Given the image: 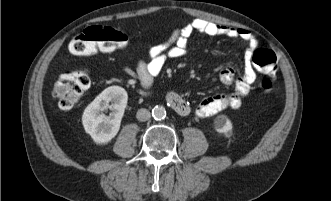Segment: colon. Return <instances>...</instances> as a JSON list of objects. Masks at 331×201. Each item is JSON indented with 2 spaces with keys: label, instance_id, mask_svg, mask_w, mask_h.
<instances>
[{
  "label": "colon",
  "instance_id": "obj_1",
  "mask_svg": "<svg viewBox=\"0 0 331 201\" xmlns=\"http://www.w3.org/2000/svg\"><path fill=\"white\" fill-rule=\"evenodd\" d=\"M129 38L123 32L108 26H91L75 36L70 44V52L75 55H93L97 52H112L125 48ZM254 64L263 71L260 88L264 93L273 87V76L277 69L276 57L269 49H258L253 53ZM90 86V76L86 71L75 70L62 73L53 89L59 106L71 109Z\"/></svg>",
  "mask_w": 331,
  "mask_h": 201
}]
</instances>
